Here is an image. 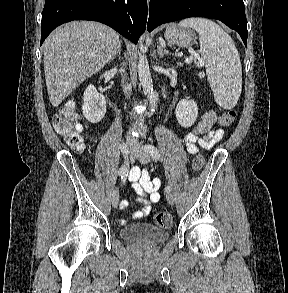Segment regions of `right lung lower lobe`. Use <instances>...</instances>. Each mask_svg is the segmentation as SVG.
<instances>
[{"mask_svg": "<svg viewBox=\"0 0 288 293\" xmlns=\"http://www.w3.org/2000/svg\"><path fill=\"white\" fill-rule=\"evenodd\" d=\"M72 20L104 23L136 44L146 29L147 0H46L40 45L57 26Z\"/></svg>", "mask_w": 288, "mask_h": 293, "instance_id": "right-lung-lower-lobe-1", "label": "right lung lower lobe"}]
</instances>
